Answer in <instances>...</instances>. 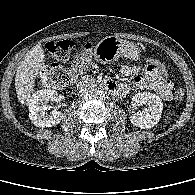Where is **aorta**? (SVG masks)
I'll return each mask as SVG.
<instances>
[{"instance_id": "762f6f07", "label": "aorta", "mask_w": 195, "mask_h": 195, "mask_svg": "<svg viewBox=\"0 0 195 195\" xmlns=\"http://www.w3.org/2000/svg\"><path fill=\"white\" fill-rule=\"evenodd\" d=\"M105 94H106V91L105 89H102V88H98L95 93L96 97L99 99L105 97Z\"/></svg>"}]
</instances>
